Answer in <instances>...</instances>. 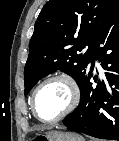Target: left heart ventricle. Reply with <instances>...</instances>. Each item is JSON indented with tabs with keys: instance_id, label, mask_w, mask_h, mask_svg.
I'll use <instances>...</instances> for the list:
<instances>
[{
	"instance_id": "left-heart-ventricle-1",
	"label": "left heart ventricle",
	"mask_w": 119,
	"mask_h": 141,
	"mask_svg": "<svg viewBox=\"0 0 119 141\" xmlns=\"http://www.w3.org/2000/svg\"><path fill=\"white\" fill-rule=\"evenodd\" d=\"M69 98V90L63 82L55 81L46 84L36 97L37 114L42 119H52L66 108Z\"/></svg>"
}]
</instances>
